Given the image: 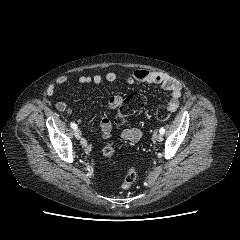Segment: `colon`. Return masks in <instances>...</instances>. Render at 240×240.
<instances>
[{
    "label": "colon",
    "instance_id": "1",
    "mask_svg": "<svg viewBox=\"0 0 240 240\" xmlns=\"http://www.w3.org/2000/svg\"><path fill=\"white\" fill-rule=\"evenodd\" d=\"M146 103V97L141 92H132L127 96L124 100L122 107L119 109L118 115L116 117V123L122 124L124 118L132 114L144 107ZM157 118L165 121L170 117V111L167 107L161 106L156 111ZM103 155L112 160L115 154V147L112 141L107 142V144L103 148ZM136 170L133 167L128 168L123 177V181L121 183V188L123 190L129 189L136 179Z\"/></svg>",
    "mask_w": 240,
    "mask_h": 240
}]
</instances>
